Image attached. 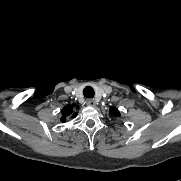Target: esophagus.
Returning a JSON list of instances; mask_svg holds the SVG:
<instances>
[{
	"instance_id": "1",
	"label": "esophagus",
	"mask_w": 181,
	"mask_h": 181,
	"mask_svg": "<svg viewBox=\"0 0 181 181\" xmlns=\"http://www.w3.org/2000/svg\"><path fill=\"white\" fill-rule=\"evenodd\" d=\"M86 104L88 105V106H91V107H95L96 106V101L94 100V99H87L86 100Z\"/></svg>"
}]
</instances>
